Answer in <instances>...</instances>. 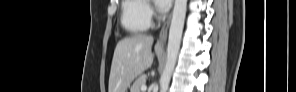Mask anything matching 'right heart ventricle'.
<instances>
[{
	"label": "right heart ventricle",
	"mask_w": 296,
	"mask_h": 92,
	"mask_svg": "<svg viewBox=\"0 0 296 92\" xmlns=\"http://www.w3.org/2000/svg\"><path fill=\"white\" fill-rule=\"evenodd\" d=\"M145 1L125 0L122 2L121 24L123 28L131 34L145 32L150 21L144 13Z\"/></svg>",
	"instance_id": "e07e8e85"
}]
</instances>
